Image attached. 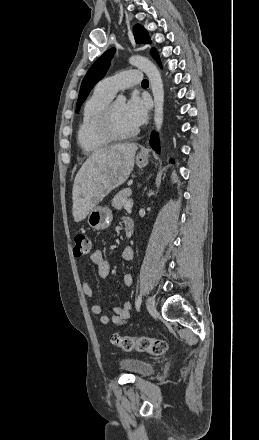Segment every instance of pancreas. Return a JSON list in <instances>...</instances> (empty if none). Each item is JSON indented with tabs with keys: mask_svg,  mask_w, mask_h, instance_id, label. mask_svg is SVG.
<instances>
[{
	"mask_svg": "<svg viewBox=\"0 0 259 440\" xmlns=\"http://www.w3.org/2000/svg\"><path fill=\"white\" fill-rule=\"evenodd\" d=\"M131 195V190L130 189H123L121 191H119L113 198L112 200V206L116 209V210H121L126 202L129 201V197Z\"/></svg>",
	"mask_w": 259,
	"mask_h": 440,
	"instance_id": "obj_1",
	"label": "pancreas"
}]
</instances>
